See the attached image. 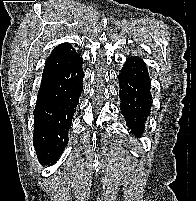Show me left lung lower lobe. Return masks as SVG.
Masks as SVG:
<instances>
[{
    "mask_svg": "<svg viewBox=\"0 0 196 201\" xmlns=\"http://www.w3.org/2000/svg\"><path fill=\"white\" fill-rule=\"evenodd\" d=\"M120 109L126 125L134 135H141L150 114V81L145 63L138 57H128L119 71Z\"/></svg>",
    "mask_w": 196,
    "mask_h": 201,
    "instance_id": "1",
    "label": "left lung lower lobe"
}]
</instances>
